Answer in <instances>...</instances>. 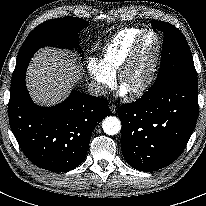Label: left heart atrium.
<instances>
[{"label":"left heart atrium","mask_w":206,"mask_h":206,"mask_svg":"<svg viewBox=\"0 0 206 206\" xmlns=\"http://www.w3.org/2000/svg\"><path fill=\"white\" fill-rule=\"evenodd\" d=\"M127 92H128V90H127L125 87H122V88L120 89V93H121L122 95H125Z\"/></svg>","instance_id":"1"}]
</instances>
